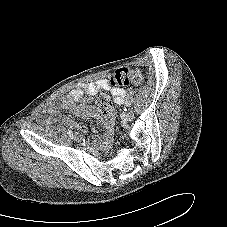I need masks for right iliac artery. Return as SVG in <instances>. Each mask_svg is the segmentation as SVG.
I'll return each mask as SVG.
<instances>
[{
    "label": "right iliac artery",
    "mask_w": 227,
    "mask_h": 227,
    "mask_svg": "<svg viewBox=\"0 0 227 227\" xmlns=\"http://www.w3.org/2000/svg\"><path fill=\"white\" fill-rule=\"evenodd\" d=\"M67 134L70 136V137H73V132L71 130L68 129V132Z\"/></svg>",
    "instance_id": "82829eb1"
}]
</instances>
